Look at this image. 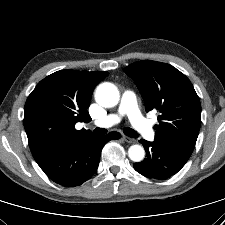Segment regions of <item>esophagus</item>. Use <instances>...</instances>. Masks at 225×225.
Here are the masks:
<instances>
[{"label": "esophagus", "mask_w": 225, "mask_h": 225, "mask_svg": "<svg viewBox=\"0 0 225 225\" xmlns=\"http://www.w3.org/2000/svg\"><path fill=\"white\" fill-rule=\"evenodd\" d=\"M123 139H124V141L127 142V143H136V140H135V139L130 138V137H128V136H123Z\"/></svg>", "instance_id": "obj_1"}]
</instances>
